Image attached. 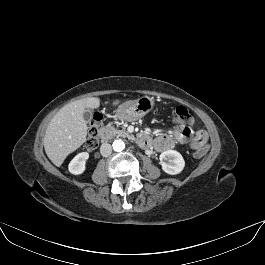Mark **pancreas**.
<instances>
[{"mask_svg": "<svg viewBox=\"0 0 265 265\" xmlns=\"http://www.w3.org/2000/svg\"><path fill=\"white\" fill-rule=\"evenodd\" d=\"M113 123H109L108 126L112 129V137H130L129 133L127 131H125V129L122 130H118L115 129L113 126Z\"/></svg>", "mask_w": 265, "mask_h": 265, "instance_id": "cf45deb5", "label": "pancreas"}]
</instances>
